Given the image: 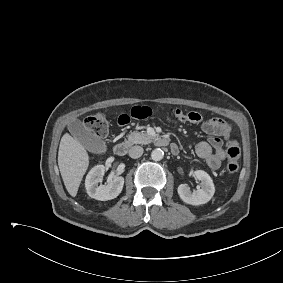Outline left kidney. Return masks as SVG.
Wrapping results in <instances>:
<instances>
[{
    "label": "left kidney",
    "mask_w": 283,
    "mask_h": 283,
    "mask_svg": "<svg viewBox=\"0 0 283 283\" xmlns=\"http://www.w3.org/2000/svg\"><path fill=\"white\" fill-rule=\"evenodd\" d=\"M197 180L201 181L200 186L191 191L186 184L178 186V194L180 198L187 204L201 205L211 200L215 193L213 180L209 174L203 170H195L190 173Z\"/></svg>",
    "instance_id": "5707ae66"
}]
</instances>
